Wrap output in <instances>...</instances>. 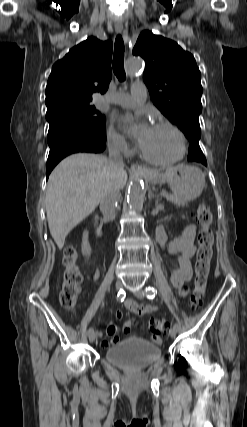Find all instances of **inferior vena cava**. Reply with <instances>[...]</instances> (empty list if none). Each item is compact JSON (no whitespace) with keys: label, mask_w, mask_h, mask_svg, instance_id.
<instances>
[{"label":"inferior vena cava","mask_w":247,"mask_h":427,"mask_svg":"<svg viewBox=\"0 0 247 427\" xmlns=\"http://www.w3.org/2000/svg\"><path fill=\"white\" fill-rule=\"evenodd\" d=\"M109 162L113 167H123V158L120 147L115 143L109 144ZM120 200V190L117 188L108 189L100 200V210L108 220H114L116 216L117 203Z\"/></svg>","instance_id":"602c4592"}]
</instances>
